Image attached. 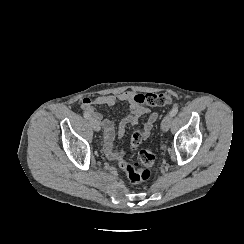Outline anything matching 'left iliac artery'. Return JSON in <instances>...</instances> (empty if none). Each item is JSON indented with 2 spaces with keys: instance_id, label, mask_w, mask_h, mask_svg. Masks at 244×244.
I'll use <instances>...</instances> for the list:
<instances>
[{
  "instance_id": "1",
  "label": "left iliac artery",
  "mask_w": 244,
  "mask_h": 244,
  "mask_svg": "<svg viewBox=\"0 0 244 244\" xmlns=\"http://www.w3.org/2000/svg\"><path fill=\"white\" fill-rule=\"evenodd\" d=\"M178 107H174L171 111H170V115L175 116L178 113Z\"/></svg>"
}]
</instances>
